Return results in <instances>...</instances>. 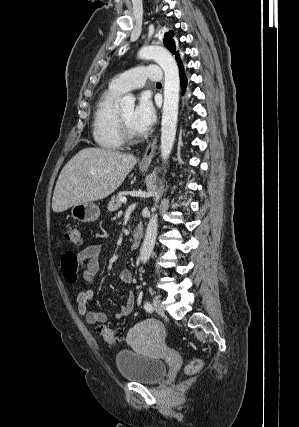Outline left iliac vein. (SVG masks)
I'll use <instances>...</instances> for the list:
<instances>
[{
    "mask_svg": "<svg viewBox=\"0 0 299 427\" xmlns=\"http://www.w3.org/2000/svg\"><path fill=\"white\" fill-rule=\"evenodd\" d=\"M153 307H154V310L159 315H164V307H163L162 302H161L160 299H158V298H154L153 299Z\"/></svg>",
    "mask_w": 299,
    "mask_h": 427,
    "instance_id": "1",
    "label": "left iliac vein"
}]
</instances>
